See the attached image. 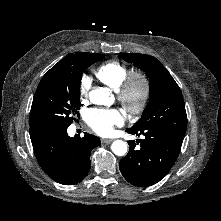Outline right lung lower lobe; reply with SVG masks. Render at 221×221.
<instances>
[{
  "instance_id": "98d812e1",
  "label": "right lung lower lobe",
  "mask_w": 221,
  "mask_h": 221,
  "mask_svg": "<svg viewBox=\"0 0 221 221\" xmlns=\"http://www.w3.org/2000/svg\"><path fill=\"white\" fill-rule=\"evenodd\" d=\"M34 153L43 171L63 185L79 183L88 174L91 150L100 145L98 137H69L67 127L30 134Z\"/></svg>"
}]
</instances>
